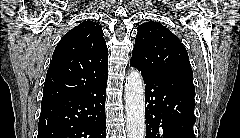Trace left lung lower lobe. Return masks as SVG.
Returning a JSON list of instances; mask_svg holds the SVG:
<instances>
[{
    "mask_svg": "<svg viewBox=\"0 0 240 138\" xmlns=\"http://www.w3.org/2000/svg\"><path fill=\"white\" fill-rule=\"evenodd\" d=\"M142 76L145 83L146 138H195L193 77L145 73Z\"/></svg>",
    "mask_w": 240,
    "mask_h": 138,
    "instance_id": "0a47b994",
    "label": "left lung lower lobe"
}]
</instances>
